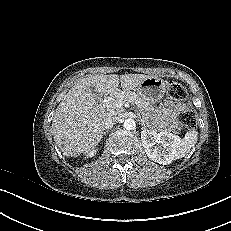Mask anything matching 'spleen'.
<instances>
[{
  "label": "spleen",
  "instance_id": "spleen-1",
  "mask_svg": "<svg viewBox=\"0 0 231 231\" xmlns=\"http://www.w3.org/2000/svg\"><path fill=\"white\" fill-rule=\"evenodd\" d=\"M198 140V132L196 130H190L181 140V143L176 148L175 158L180 159L185 157L191 149L195 146Z\"/></svg>",
  "mask_w": 231,
  "mask_h": 231
}]
</instances>
